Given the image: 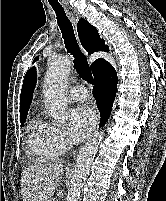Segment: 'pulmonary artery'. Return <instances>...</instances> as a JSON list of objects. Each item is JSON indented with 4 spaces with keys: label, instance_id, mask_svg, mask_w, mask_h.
Here are the masks:
<instances>
[{
    "label": "pulmonary artery",
    "instance_id": "pulmonary-artery-1",
    "mask_svg": "<svg viewBox=\"0 0 166 201\" xmlns=\"http://www.w3.org/2000/svg\"><path fill=\"white\" fill-rule=\"evenodd\" d=\"M69 97L75 102H83L88 98V91L83 86H75L69 91Z\"/></svg>",
    "mask_w": 166,
    "mask_h": 201
}]
</instances>
